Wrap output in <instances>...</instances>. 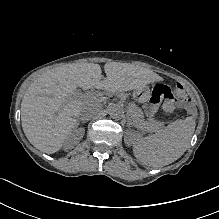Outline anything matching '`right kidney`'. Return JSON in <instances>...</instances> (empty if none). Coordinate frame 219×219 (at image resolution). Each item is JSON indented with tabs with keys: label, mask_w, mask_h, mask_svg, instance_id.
Here are the masks:
<instances>
[{
	"label": "right kidney",
	"mask_w": 219,
	"mask_h": 219,
	"mask_svg": "<svg viewBox=\"0 0 219 219\" xmlns=\"http://www.w3.org/2000/svg\"><path fill=\"white\" fill-rule=\"evenodd\" d=\"M83 137V131H82V133L77 137V139L79 140V139H81ZM75 138V137H74ZM77 142H79V141H77ZM65 147H66V145H64Z\"/></svg>",
	"instance_id": "1"
}]
</instances>
